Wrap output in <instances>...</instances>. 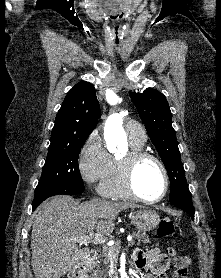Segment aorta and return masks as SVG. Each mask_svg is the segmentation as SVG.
<instances>
[{
	"instance_id": "762f6f07",
	"label": "aorta",
	"mask_w": 221,
	"mask_h": 278,
	"mask_svg": "<svg viewBox=\"0 0 221 278\" xmlns=\"http://www.w3.org/2000/svg\"><path fill=\"white\" fill-rule=\"evenodd\" d=\"M122 125L123 116L119 113L111 114L106 120L104 138L109 152L115 153L117 146L127 143L126 133Z\"/></svg>"
}]
</instances>
